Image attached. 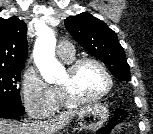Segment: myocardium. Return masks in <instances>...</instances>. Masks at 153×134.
<instances>
[{
    "instance_id": "obj_1",
    "label": "myocardium",
    "mask_w": 153,
    "mask_h": 134,
    "mask_svg": "<svg viewBox=\"0 0 153 134\" xmlns=\"http://www.w3.org/2000/svg\"><path fill=\"white\" fill-rule=\"evenodd\" d=\"M87 63L95 64L96 66H98L102 70V72L104 73V75L107 79V86L102 92H100L97 95L83 97V96H80L75 93L72 83H73V77L76 74V72L79 70V68L81 66H83L84 64H87ZM67 71L69 74L68 81L64 84L58 85V89L62 95V98L64 99V101L67 104L76 105V104L95 102V101L102 99L106 95H108L111 92V90L113 89L114 79H113V76H112L110 70L101 60H99L95 57L78 58V59L72 61L68 65Z\"/></svg>"
}]
</instances>
